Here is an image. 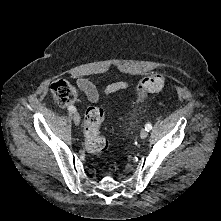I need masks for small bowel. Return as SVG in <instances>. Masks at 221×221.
<instances>
[{"instance_id":"1","label":"small bowel","mask_w":221,"mask_h":221,"mask_svg":"<svg viewBox=\"0 0 221 221\" xmlns=\"http://www.w3.org/2000/svg\"><path fill=\"white\" fill-rule=\"evenodd\" d=\"M77 83H78V86L84 91V93L89 101L96 102L98 100L97 89L89 80L84 79V78H79ZM127 88H129L128 82L116 81V82L110 83L105 88V93L112 94V93L118 92L120 90H125Z\"/></svg>"}]
</instances>
